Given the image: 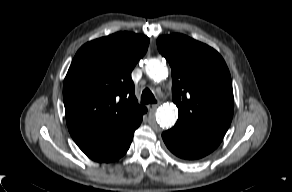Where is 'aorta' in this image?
<instances>
[{
  "label": "aorta",
  "mask_w": 292,
  "mask_h": 192,
  "mask_svg": "<svg viewBox=\"0 0 292 192\" xmlns=\"http://www.w3.org/2000/svg\"><path fill=\"white\" fill-rule=\"evenodd\" d=\"M147 75L155 80L161 81L168 76V68L164 62L157 58H151L145 66ZM178 118V110L174 105H165L156 113V121L161 127H171Z\"/></svg>",
  "instance_id": "aorta-1"
}]
</instances>
